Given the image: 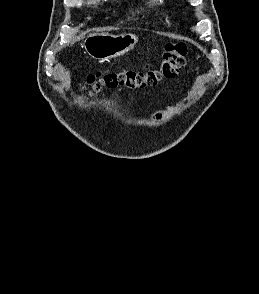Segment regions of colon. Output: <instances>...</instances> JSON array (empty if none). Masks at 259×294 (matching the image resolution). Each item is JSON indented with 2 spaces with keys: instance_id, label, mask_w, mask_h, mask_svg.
<instances>
[{
  "instance_id": "5ec220e1",
  "label": "colon",
  "mask_w": 259,
  "mask_h": 294,
  "mask_svg": "<svg viewBox=\"0 0 259 294\" xmlns=\"http://www.w3.org/2000/svg\"><path fill=\"white\" fill-rule=\"evenodd\" d=\"M187 49L184 43H169L165 47L162 60L156 68H146L144 71L123 70L120 72L97 71L87 77L84 89L93 93L103 86L114 88L127 86L143 88L156 85L164 78L175 77L185 65Z\"/></svg>"
}]
</instances>
